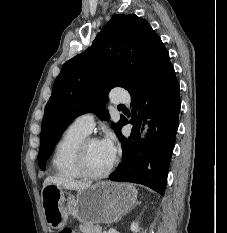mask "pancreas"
I'll return each mask as SVG.
<instances>
[{"label":"pancreas","instance_id":"pancreas-1","mask_svg":"<svg viewBox=\"0 0 227 233\" xmlns=\"http://www.w3.org/2000/svg\"><path fill=\"white\" fill-rule=\"evenodd\" d=\"M79 229L82 233H101L102 228L99 225H93L90 223H83L79 225Z\"/></svg>","mask_w":227,"mask_h":233}]
</instances>
